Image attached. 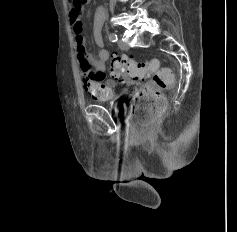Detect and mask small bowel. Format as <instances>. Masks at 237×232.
<instances>
[{
  "label": "small bowel",
  "mask_w": 237,
  "mask_h": 232,
  "mask_svg": "<svg viewBox=\"0 0 237 232\" xmlns=\"http://www.w3.org/2000/svg\"><path fill=\"white\" fill-rule=\"evenodd\" d=\"M69 21L75 37L78 62L85 91L89 92L94 99L99 101L113 99L115 96V84L112 80L106 79V63L110 55L109 52L103 48V12L97 10L93 21L94 40L100 47L97 56H92L85 50L84 37L81 32L80 8L71 7Z\"/></svg>",
  "instance_id": "1"
}]
</instances>
